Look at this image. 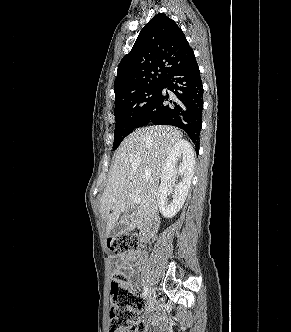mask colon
I'll return each mask as SVG.
<instances>
[{"instance_id":"1","label":"colon","mask_w":291,"mask_h":332,"mask_svg":"<svg viewBox=\"0 0 291 332\" xmlns=\"http://www.w3.org/2000/svg\"><path fill=\"white\" fill-rule=\"evenodd\" d=\"M108 248L124 260L131 262L139 257L138 238L133 233H120L107 240ZM111 310L109 332H146L140 322L143 300L132 291L129 278L121 272L111 277Z\"/></svg>"}]
</instances>
